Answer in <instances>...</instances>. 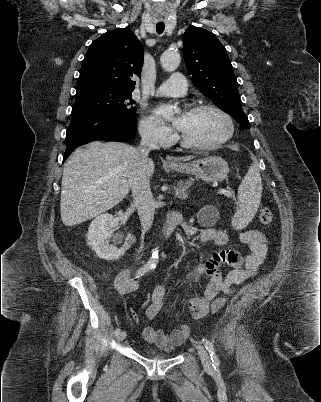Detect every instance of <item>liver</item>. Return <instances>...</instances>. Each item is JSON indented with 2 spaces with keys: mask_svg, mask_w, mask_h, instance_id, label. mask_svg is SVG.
<instances>
[{
  "mask_svg": "<svg viewBox=\"0 0 321 402\" xmlns=\"http://www.w3.org/2000/svg\"><path fill=\"white\" fill-rule=\"evenodd\" d=\"M138 152L139 149L119 142L94 141L78 148L64 164L60 202L63 224H80L120 203L129 193L138 170ZM146 170L151 177V159Z\"/></svg>",
  "mask_w": 321,
  "mask_h": 402,
  "instance_id": "obj_1",
  "label": "liver"
}]
</instances>
